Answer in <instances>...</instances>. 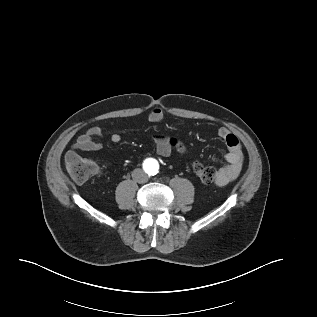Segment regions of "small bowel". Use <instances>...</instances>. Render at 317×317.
<instances>
[{
    "label": "small bowel",
    "instance_id": "obj_1",
    "mask_svg": "<svg viewBox=\"0 0 317 317\" xmlns=\"http://www.w3.org/2000/svg\"><path fill=\"white\" fill-rule=\"evenodd\" d=\"M148 119L153 123H161L164 120V113L160 108L155 107L150 111ZM217 135L227 146L225 158L228 164L220 168L216 176V184L223 186L238 177L244 163V154L239 139L227 128L220 127ZM101 136L102 129L100 127H90L84 134L78 137L73 149L67 153V161L70 162L71 160L80 158L79 151L95 152L101 150L103 145L98 141ZM110 140L113 143H118L121 141V136L114 133L110 136ZM156 151L160 156L168 157L173 151H185V146L176 139L158 137L156 140Z\"/></svg>",
    "mask_w": 317,
    "mask_h": 317
}]
</instances>
